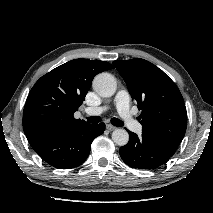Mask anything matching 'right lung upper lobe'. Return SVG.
I'll use <instances>...</instances> for the list:
<instances>
[{
    "mask_svg": "<svg viewBox=\"0 0 213 213\" xmlns=\"http://www.w3.org/2000/svg\"><path fill=\"white\" fill-rule=\"evenodd\" d=\"M114 67L100 60L74 59L42 76L29 92L23 112V130L62 134L86 124L73 114L85 100L93 78Z\"/></svg>",
    "mask_w": 213,
    "mask_h": 213,
    "instance_id": "1",
    "label": "right lung upper lobe"
}]
</instances>
